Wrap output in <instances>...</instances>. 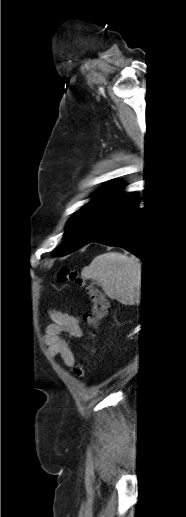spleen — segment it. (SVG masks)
<instances>
[{"mask_svg":"<svg viewBox=\"0 0 186 517\" xmlns=\"http://www.w3.org/2000/svg\"><path fill=\"white\" fill-rule=\"evenodd\" d=\"M81 275L95 281L108 297L122 304L141 302L142 263L136 258L118 252L104 253L84 267Z\"/></svg>","mask_w":186,"mask_h":517,"instance_id":"spleen-1","label":"spleen"}]
</instances>
